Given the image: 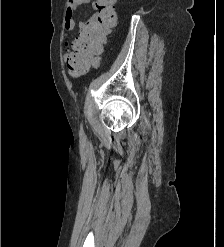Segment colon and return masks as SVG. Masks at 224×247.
<instances>
[{"instance_id": "obj_1", "label": "colon", "mask_w": 224, "mask_h": 247, "mask_svg": "<svg viewBox=\"0 0 224 247\" xmlns=\"http://www.w3.org/2000/svg\"><path fill=\"white\" fill-rule=\"evenodd\" d=\"M116 0H97L96 12L77 38L78 50L68 62L71 75L78 76L85 73L90 67L88 55L100 50L106 36L116 25Z\"/></svg>"}]
</instances>
